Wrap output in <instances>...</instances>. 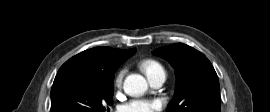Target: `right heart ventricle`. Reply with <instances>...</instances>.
I'll return each instance as SVG.
<instances>
[{"instance_id": "1", "label": "right heart ventricle", "mask_w": 270, "mask_h": 112, "mask_svg": "<svg viewBox=\"0 0 270 112\" xmlns=\"http://www.w3.org/2000/svg\"><path fill=\"white\" fill-rule=\"evenodd\" d=\"M141 68L145 72L148 78L158 74V73H165L164 67L154 59H148L141 63Z\"/></svg>"}]
</instances>
